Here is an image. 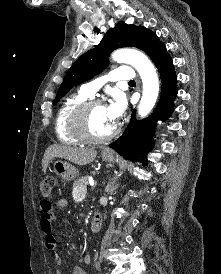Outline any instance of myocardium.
Returning a JSON list of instances; mask_svg holds the SVG:
<instances>
[{"instance_id": "myocardium-1", "label": "myocardium", "mask_w": 221, "mask_h": 274, "mask_svg": "<svg viewBox=\"0 0 221 274\" xmlns=\"http://www.w3.org/2000/svg\"><path fill=\"white\" fill-rule=\"evenodd\" d=\"M105 105V102L99 98H91L78 104L70 116V129L72 133L81 141L87 143H105L111 140L117 133V126L104 136H95L89 130L88 120L90 112L97 106Z\"/></svg>"}]
</instances>
